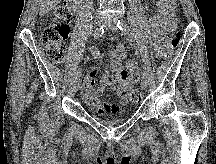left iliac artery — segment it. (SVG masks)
I'll return each mask as SVG.
<instances>
[{
	"label": "left iliac artery",
	"instance_id": "left-iliac-artery-1",
	"mask_svg": "<svg viewBox=\"0 0 216 164\" xmlns=\"http://www.w3.org/2000/svg\"><path fill=\"white\" fill-rule=\"evenodd\" d=\"M117 27H118L123 33L128 34V35L131 36L132 39H133V31L131 30V28L129 27V25H128L126 22H124V21H122V20H121V21L118 20V21H117ZM141 73H142V75H143L144 77L147 75L145 69H142V70H141Z\"/></svg>",
	"mask_w": 216,
	"mask_h": 164
}]
</instances>
